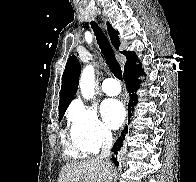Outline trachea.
I'll list each match as a JSON object with an SVG mask.
<instances>
[{"label":"trachea","mask_w":196,"mask_h":182,"mask_svg":"<svg viewBox=\"0 0 196 182\" xmlns=\"http://www.w3.org/2000/svg\"><path fill=\"white\" fill-rule=\"evenodd\" d=\"M91 27L95 33L99 48L101 49V52L107 64L109 65L111 72L114 74L116 78L122 80L123 77L121 67L115 58L113 49L111 48L108 39L106 38L100 27L97 25V23L91 21Z\"/></svg>","instance_id":"trachea-1"}]
</instances>
